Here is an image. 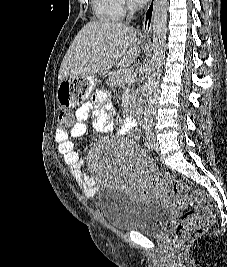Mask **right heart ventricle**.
Here are the masks:
<instances>
[{"mask_svg":"<svg viewBox=\"0 0 227 267\" xmlns=\"http://www.w3.org/2000/svg\"><path fill=\"white\" fill-rule=\"evenodd\" d=\"M96 17L104 22L120 21L125 14L123 0H92Z\"/></svg>","mask_w":227,"mask_h":267,"instance_id":"1","label":"right heart ventricle"}]
</instances>
